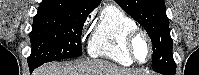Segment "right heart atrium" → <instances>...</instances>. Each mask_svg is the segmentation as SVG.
I'll list each match as a JSON object with an SVG mask.
<instances>
[{
	"label": "right heart atrium",
	"instance_id": "1",
	"mask_svg": "<svg viewBox=\"0 0 199 75\" xmlns=\"http://www.w3.org/2000/svg\"><path fill=\"white\" fill-rule=\"evenodd\" d=\"M89 22H90V19L88 18L85 23H84V26H83V31L86 30L87 26L89 25Z\"/></svg>",
	"mask_w": 199,
	"mask_h": 75
}]
</instances>
